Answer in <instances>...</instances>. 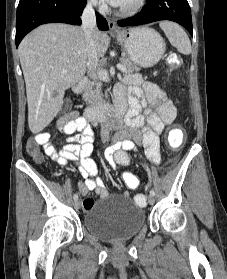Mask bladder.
<instances>
[{"label":"bladder","instance_id":"1","mask_svg":"<svg viewBox=\"0 0 227 279\" xmlns=\"http://www.w3.org/2000/svg\"><path fill=\"white\" fill-rule=\"evenodd\" d=\"M144 224V210L125 196L99 200L84 217L86 231L104 241L132 237Z\"/></svg>","mask_w":227,"mask_h":279}]
</instances>
